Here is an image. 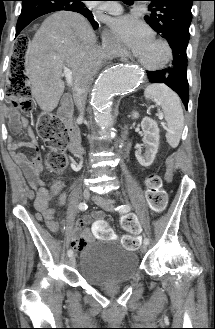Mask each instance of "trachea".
<instances>
[{
	"mask_svg": "<svg viewBox=\"0 0 215 329\" xmlns=\"http://www.w3.org/2000/svg\"><path fill=\"white\" fill-rule=\"evenodd\" d=\"M120 1H123L124 3L127 4H132L134 0H120Z\"/></svg>",
	"mask_w": 215,
	"mask_h": 329,
	"instance_id": "3493384b",
	"label": "trachea"
}]
</instances>
